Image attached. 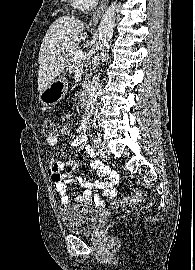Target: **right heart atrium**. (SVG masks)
I'll return each instance as SVG.
<instances>
[{
    "label": "right heart atrium",
    "instance_id": "obj_1",
    "mask_svg": "<svg viewBox=\"0 0 195 270\" xmlns=\"http://www.w3.org/2000/svg\"><path fill=\"white\" fill-rule=\"evenodd\" d=\"M85 1H87L88 3H90L92 0H85Z\"/></svg>",
    "mask_w": 195,
    "mask_h": 270
}]
</instances>
